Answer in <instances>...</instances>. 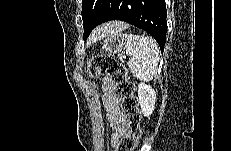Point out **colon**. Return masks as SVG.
<instances>
[{"label":"colon","instance_id":"colon-1","mask_svg":"<svg viewBox=\"0 0 231 151\" xmlns=\"http://www.w3.org/2000/svg\"><path fill=\"white\" fill-rule=\"evenodd\" d=\"M88 73L93 78L106 75L110 79L113 94L119 100L127 125L125 134L115 145V151H133L142 135L141 113L135 96V85L128 77L125 67L114 56L100 54L89 60Z\"/></svg>","mask_w":231,"mask_h":151}]
</instances>
